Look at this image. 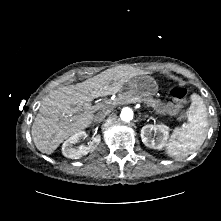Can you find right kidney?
Instances as JSON below:
<instances>
[{
	"instance_id": "ca27d5eb",
	"label": "right kidney",
	"mask_w": 221,
	"mask_h": 221,
	"mask_svg": "<svg viewBox=\"0 0 221 221\" xmlns=\"http://www.w3.org/2000/svg\"><path fill=\"white\" fill-rule=\"evenodd\" d=\"M86 136L87 134L85 131H79L73 134L63 143L62 154L67 158L79 159L82 156L87 155L90 151H93L101 141L100 135L95 136L89 146L80 145L79 147H74L79 140Z\"/></svg>"
}]
</instances>
